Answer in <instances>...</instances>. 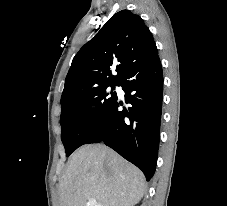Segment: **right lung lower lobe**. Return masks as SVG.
I'll return each mask as SVG.
<instances>
[{
	"instance_id": "98d812e1",
	"label": "right lung lower lobe",
	"mask_w": 227,
	"mask_h": 206,
	"mask_svg": "<svg viewBox=\"0 0 227 206\" xmlns=\"http://www.w3.org/2000/svg\"><path fill=\"white\" fill-rule=\"evenodd\" d=\"M119 86L132 106L119 111L116 99L85 144L104 142L139 167L149 181L155 172L159 146L163 92L159 57L132 69Z\"/></svg>"
}]
</instances>
